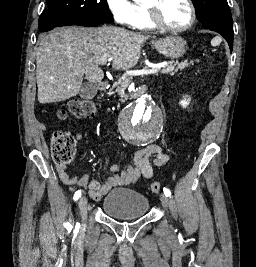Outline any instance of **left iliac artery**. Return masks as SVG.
Wrapping results in <instances>:
<instances>
[{
	"label": "left iliac artery",
	"mask_w": 256,
	"mask_h": 267,
	"mask_svg": "<svg viewBox=\"0 0 256 267\" xmlns=\"http://www.w3.org/2000/svg\"><path fill=\"white\" fill-rule=\"evenodd\" d=\"M163 191H164V194L167 196V197H171V192L169 189L167 188H163Z\"/></svg>",
	"instance_id": "44dca946"
}]
</instances>
